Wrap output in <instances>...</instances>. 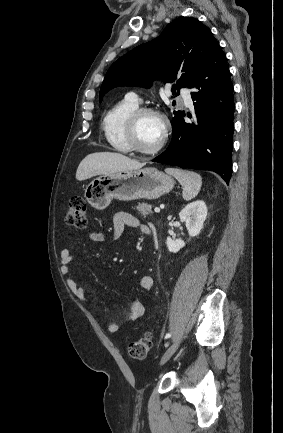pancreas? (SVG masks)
<instances>
[{
    "mask_svg": "<svg viewBox=\"0 0 283 433\" xmlns=\"http://www.w3.org/2000/svg\"><path fill=\"white\" fill-rule=\"evenodd\" d=\"M152 204H147V202H138V206H135L137 210H139V214H142V217H150L152 214Z\"/></svg>",
    "mask_w": 283,
    "mask_h": 433,
    "instance_id": "pancreas-1",
    "label": "pancreas"
}]
</instances>
